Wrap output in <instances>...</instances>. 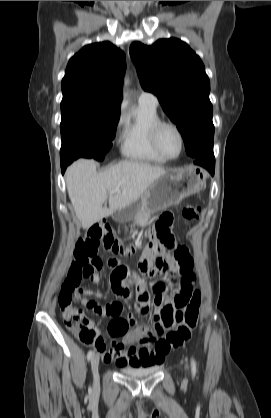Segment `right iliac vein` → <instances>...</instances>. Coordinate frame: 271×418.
Segmentation results:
<instances>
[{"mask_svg":"<svg viewBox=\"0 0 271 418\" xmlns=\"http://www.w3.org/2000/svg\"><path fill=\"white\" fill-rule=\"evenodd\" d=\"M98 367H99V355L95 354L91 360V370H92L93 378H94V388H98L99 386Z\"/></svg>","mask_w":271,"mask_h":418,"instance_id":"right-iliac-vein-1","label":"right iliac vein"}]
</instances>
